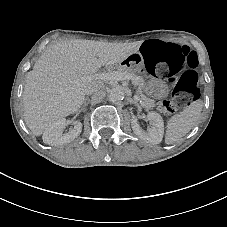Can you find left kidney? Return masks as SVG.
Segmentation results:
<instances>
[{
    "instance_id": "1",
    "label": "left kidney",
    "mask_w": 227,
    "mask_h": 227,
    "mask_svg": "<svg viewBox=\"0 0 227 227\" xmlns=\"http://www.w3.org/2000/svg\"><path fill=\"white\" fill-rule=\"evenodd\" d=\"M148 119L153 123V127H148L145 131L135 120L132 122L134 133L146 143L159 144L164 136V120L156 111L147 114Z\"/></svg>"
}]
</instances>
